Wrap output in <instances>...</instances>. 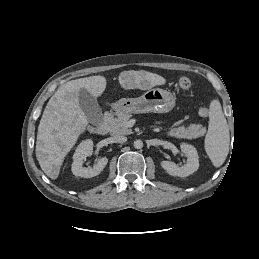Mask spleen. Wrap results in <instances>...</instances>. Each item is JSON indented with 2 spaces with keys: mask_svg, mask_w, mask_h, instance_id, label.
<instances>
[{
  "mask_svg": "<svg viewBox=\"0 0 259 259\" xmlns=\"http://www.w3.org/2000/svg\"><path fill=\"white\" fill-rule=\"evenodd\" d=\"M209 125L205 137V151L215 167H220L229 152V128L218 100L210 103Z\"/></svg>",
  "mask_w": 259,
  "mask_h": 259,
  "instance_id": "3e777b00",
  "label": "spleen"
}]
</instances>
